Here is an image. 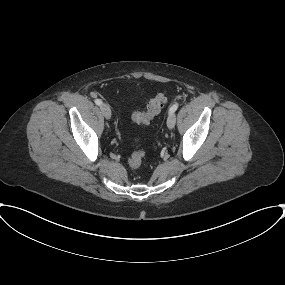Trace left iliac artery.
Returning <instances> with one entry per match:
<instances>
[{"instance_id": "44dca946", "label": "left iliac artery", "mask_w": 285, "mask_h": 285, "mask_svg": "<svg viewBox=\"0 0 285 285\" xmlns=\"http://www.w3.org/2000/svg\"><path fill=\"white\" fill-rule=\"evenodd\" d=\"M178 106H179L178 103L172 105L169 109V113H174L178 109Z\"/></svg>"}]
</instances>
